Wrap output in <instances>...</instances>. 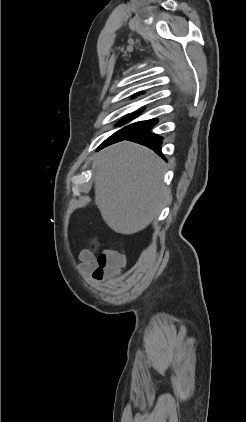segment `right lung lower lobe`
<instances>
[{
	"label": "right lung lower lobe",
	"mask_w": 246,
	"mask_h": 422,
	"mask_svg": "<svg viewBox=\"0 0 246 422\" xmlns=\"http://www.w3.org/2000/svg\"><path fill=\"white\" fill-rule=\"evenodd\" d=\"M156 123H154V124L150 125L149 127L133 134L132 136H130V137L124 139V140H129V141H133V142L142 144L144 146L149 147L150 149H152L156 153L162 155V152H161L162 138L158 137L156 134L150 132L151 128ZM104 147H106V146H104ZM101 148H103V147H101Z\"/></svg>",
	"instance_id": "98d812e1"
}]
</instances>
